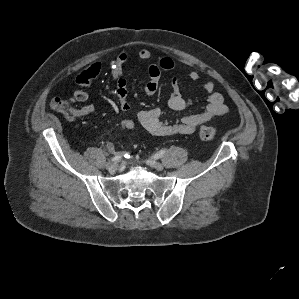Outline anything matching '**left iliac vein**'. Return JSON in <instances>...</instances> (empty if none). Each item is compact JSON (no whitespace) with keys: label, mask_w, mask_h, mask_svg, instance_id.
<instances>
[{"label":"left iliac vein","mask_w":299,"mask_h":299,"mask_svg":"<svg viewBox=\"0 0 299 299\" xmlns=\"http://www.w3.org/2000/svg\"><path fill=\"white\" fill-rule=\"evenodd\" d=\"M147 164L151 167L155 168L158 171H162L164 169V166L162 163L154 161V160H148Z\"/></svg>","instance_id":"left-iliac-vein-1"}]
</instances>
